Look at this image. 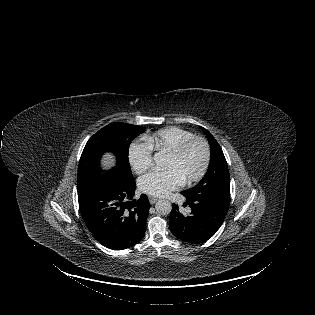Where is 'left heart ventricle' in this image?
I'll return each mask as SVG.
<instances>
[{"mask_svg": "<svg viewBox=\"0 0 315 315\" xmlns=\"http://www.w3.org/2000/svg\"><path fill=\"white\" fill-rule=\"evenodd\" d=\"M204 161V147L201 143L192 144L181 156L168 155L165 165L178 170L186 179L199 172Z\"/></svg>", "mask_w": 315, "mask_h": 315, "instance_id": "b2bd125f", "label": "left heart ventricle"}]
</instances>
